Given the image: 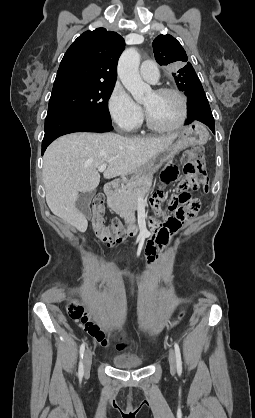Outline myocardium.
<instances>
[{
  "mask_svg": "<svg viewBox=\"0 0 255 418\" xmlns=\"http://www.w3.org/2000/svg\"><path fill=\"white\" fill-rule=\"evenodd\" d=\"M154 92L157 93V94H162V93L175 94L181 101L182 114H181V117H180L179 121L176 124H174L172 126H169V127H161V126L156 125L152 121L147 109L144 108L145 122H146L147 127L150 130H152L154 132H158V133H169V132H173V131L179 129L180 127H182L184 125V123L186 122L187 117H188V100H187V97L184 95V93H182L180 90H178L174 87H160V88H157L156 90H154Z\"/></svg>",
  "mask_w": 255,
  "mask_h": 418,
  "instance_id": "f54148a6",
  "label": "myocardium"
}]
</instances>
